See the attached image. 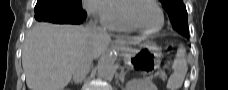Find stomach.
Here are the masks:
<instances>
[{
  "instance_id": "obj_1",
  "label": "stomach",
  "mask_w": 228,
  "mask_h": 90,
  "mask_svg": "<svg viewBox=\"0 0 228 90\" xmlns=\"http://www.w3.org/2000/svg\"><path fill=\"white\" fill-rule=\"evenodd\" d=\"M124 53L130 56L125 57L128 64L146 71H151L159 67L161 62V48L151 41H145L139 49H129L123 44Z\"/></svg>"
}]
</instances>
